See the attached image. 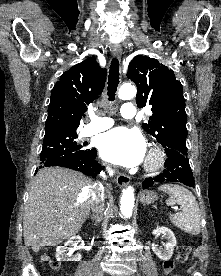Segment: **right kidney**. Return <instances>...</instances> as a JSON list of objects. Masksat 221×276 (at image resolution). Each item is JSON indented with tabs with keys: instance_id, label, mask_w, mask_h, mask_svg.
Returning a JSON list of instances; mask_svg holds the SVG:
<instances>
[{
	"instance_id": "right-kidney-1",
	"label": "right kidney",
	"mask_w": 221,
	"mask_h": 276,
	"mask_svg": "<svg viewBox=\"0 0 221 276\" xmlns=\"http://www.w3.org/2000/svg\"><path fill=\"white\" fill-rule=\"evenodd\" d=\"M81 237L80 236H74L72 238H70L65 244L64 246H58L56 248V259L57 261L61 262V261H80L81 259V255L77 254L75 256L72 257H68L66 255V249L68 248V246H72V247H76L78 245V243L80 242Z\"/></svg>"
}]
</instances>
